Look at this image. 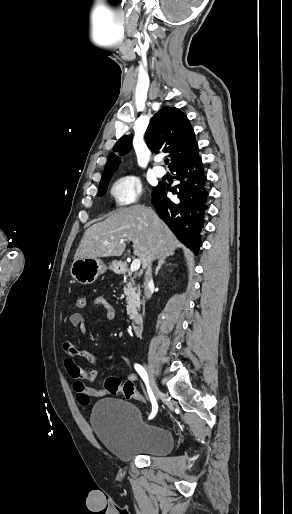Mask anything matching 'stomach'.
Listing matches in <instances>:
<instances>
[{
    "label": "stomach",
    "instance_id": "1",
    "mask_svg": "<svg viewBox=\"0 0 292 514\" xmlns=\"http://www.w3.org/2000/svg\"><path fill=\"white\" fill-rule=\"evenodd\" d=\"M106 270L107 266L99 258H79V260H74L70 272L72 278L79 284H93L98 276L104 274ZM109 270L117 272V264H111Z\"/></svg>",
    "mask_w": 292,
    "mask_h": 514
}]
</instances>
